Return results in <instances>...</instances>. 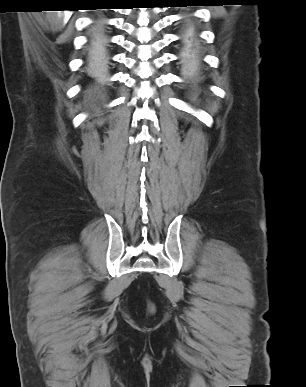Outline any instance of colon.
<instances>
[{
  "label": "colon",
  "mask_w": 306,
  "mask_h": 387,
  "mask_svg": "<svg viewBox=\"0 0 306 387\" xmlns=\"http://www.w3.org/2000/svg\"><path fill=\"white\" fill-rule=\"evenodd\" d=\"M148 311L152 313L154 311V305L151 302H148Z\"/></svg>",
  "instance_id": "obj_1"
}]
</instances>
